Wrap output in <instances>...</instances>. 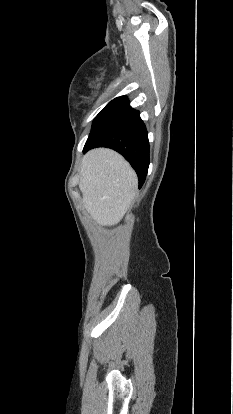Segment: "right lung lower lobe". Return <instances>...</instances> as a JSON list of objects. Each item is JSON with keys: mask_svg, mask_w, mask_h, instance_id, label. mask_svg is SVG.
<instances>
[{"mask_svg": "<svg viewBox=\"0 0 233 414\" xmlns=\"http://www.w3.org/2000/svg\"><path fill=\"white\" fill-rule=\"evenodd\" d=\"M95 147L111 148L123 155L142 187L149 166V141L139 111L129 106L126 96L112 100L95 117L83 152Z\"/></svg>", "mask_w": 233, "mask_h": 414, "instance_id": "98d812e1", "label": "right lung lower lobe"}]
</instances>
